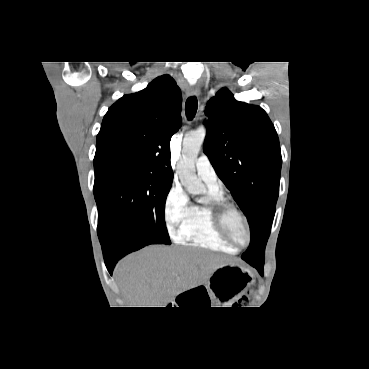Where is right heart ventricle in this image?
I'll list each match as a JSON object with an SVG mask.
<instances>
[{
	"label": "right heart ventricle",
	"mask_w": 369,
	"mask_h": 369,
	"mask_svg": "<svg viewBox=\"0 0 369 369\" xmlns=\"http://www.w3.org/2000/svg\"><path fill=\"white\" fill-rule=\"evenodd\" d=\"M221 198L223 197L219 190L209 188L205 199L190 205L188 215L179 228L177 239L193 246L235 253L237 249L227 243L217 231L212 211L207 204L211 199Z\"/></svg>",
	"instance_id": "obj_1"
}]
</instances>
